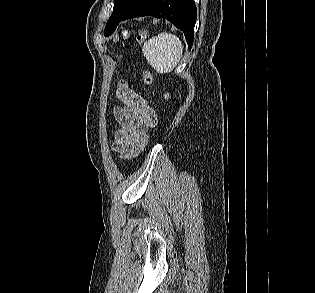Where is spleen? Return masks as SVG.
Returning <instances> with one entry per match:
<instances>
[{"label":"spleen","mask_w":315,"mask_h":293,"mask_svg":"<svg viewBox=\"0 0 315 293\" xmlns=\"http://www.w3.org/2000/svg\"><path fill=\"white\" fill-rule=\"evenodd\" d=\"M143 55L148 63L160 74L171 72L179 63L183 45L180 39L171 33H160L144 43Z\"/></svg>","instance_id":"spleen-1"}]
</instances>
